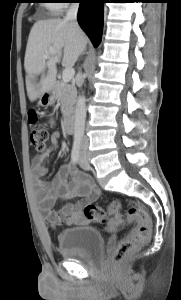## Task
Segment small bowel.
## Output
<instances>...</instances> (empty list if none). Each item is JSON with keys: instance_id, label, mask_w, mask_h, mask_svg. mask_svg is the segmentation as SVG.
I'll use <instances>...</instances> for the list:
<instances>
[{"instance_id": "1", "label": "small bowel", "mask_w": 181, "mask_h": 300, "mask_svg": "<svg viewBox=\"0 0 181 300\" xmlns=\"http://www.w3.org/2000/svg\"><path fill=\"white\" fill-rule=\"evenodd\" d=\"M53 124V120H50ZM60 134L55 132L51 141L33 161L35 195L42 209L47 212V221L52 224L65 223L68 225L84 223L83 207L93 202L99 196V190L91 180L77 174L73 162L69 161L61 166L50 181L42 178L48 173L45 165L48 156L56 150ZM80 197L77 203H66L59 210L53 207L59 200H69Z\"/></svg>"}]
</instances>
